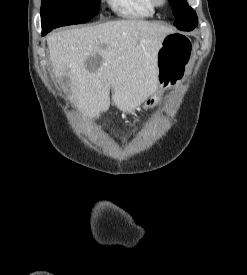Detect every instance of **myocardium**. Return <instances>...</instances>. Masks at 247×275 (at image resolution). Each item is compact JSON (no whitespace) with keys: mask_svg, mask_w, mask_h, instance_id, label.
<instances>
[{"mask_svg":"<svg viewBox=\"0 0 247 275\" xmlns=\"http://www.w3.org/2000/svg\"><path fill=\"white\" fill-rule=\"evenodd\" d=\"M155 7H163L166 5L167 0H151Z\"/></svg>","mask_w":247,"mask_h":275,"instance_id":"1","label":"myocardium"}]
</instances>
